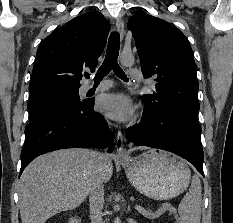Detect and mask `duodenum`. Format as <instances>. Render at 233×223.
<instances>
[{
	"label": "duodenum",
	"mask_w": 233,
	"mask_h": 223,
	"mask_svg": "<svg viewBox=\"0 0 233 223\" xmlns=\"http://www.w3.org/2000/svg\"><path fill=\"white\" fill-rule=\"evenodd\" d=\"M69 223H81L80 219L76 216H72L70 219H69Z\"/></svg>",
	"instance_id": "1"
}]
</instances>
